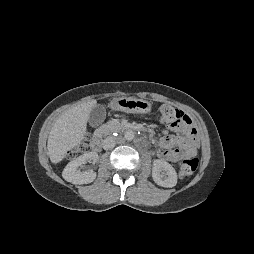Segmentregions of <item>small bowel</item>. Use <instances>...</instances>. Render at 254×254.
Instances as JSON below:
<instances>
[{"instance_id": "c3829d8e", "label": "small bowel", "mask_w": 254, "mask_h": 254, "mask_svg": "<svg viewBox=\"0 0 254 254\" xmlns=\"http://www.w3.org/2000/svg\"><path fill=\"white\" fill-rule=\"evenodd\" d=\"M176 130L182 135H169L160 139L158 155L169 162H177L183 156L193 157L197 154V140L192 127L181 126Z\"/></svg>"}]
</instances>
